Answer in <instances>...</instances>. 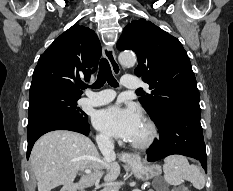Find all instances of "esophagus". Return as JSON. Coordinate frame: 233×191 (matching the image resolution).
<instances>
[{"instance_id":"1","label":"esophagus","mask_w":233,"mask_h":191,"mask_svg":"<svg viewBox=\"0 0 233 191\" xmlns=\"http://www.w3.org/2000/svg\"><path fill=\"white\" fill-rule=\"evenodd\" d=\"M103 55L107 59V61L109 62L113 73L115 75H119L121 69H120V65L118 64V62L116 60V55H115L114 50L111 47L104 46L103 47ZM121 158L125 162H128V163H136V162L140 161V156L137 154H133V153H122Z\"/></svg>"}]
</instances>
